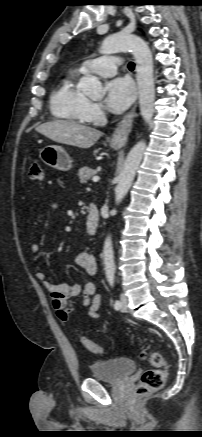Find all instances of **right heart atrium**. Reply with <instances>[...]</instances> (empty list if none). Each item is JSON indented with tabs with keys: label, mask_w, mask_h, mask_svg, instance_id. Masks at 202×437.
Segmentation results:
<instances>
[{
	"label": "right heart atrium",
	"mask_w": 202,
	"mask_h": 437,
	"mask_svg": "<svg viewBox=\"0 0 202 437\" xmlns=\"http://www.w3.org/2000/svg\"><path fill=\"white\" fill-rule=\"evenodd\" d=\"M88 114L90 119L99 120L103 116V110L100 104L90 102L88 106Z\"/></svg>",
	"instance_id": "right-heart-atrium-1"
}]
</instances>
